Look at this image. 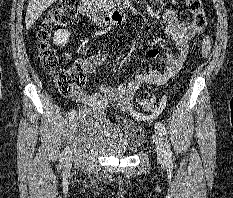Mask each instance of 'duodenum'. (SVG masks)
<instances>
[{
  "mask_svg": "<svg viewBox=\"0 0 233 198\" xmlns=\"http://www.w3.org/2000/svg\"><path fill=\"white\" fill-rule=\"evenodd\" d=\"M79 11L98 25H118L126 21V13L120 9H104L94 0H81Z\"/></svg>",
  "mask_w": 233,
  "mask_h": 198,
  "instance_id": "410a0bca",
  "label": "duodenum"
}]
</instances>
